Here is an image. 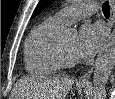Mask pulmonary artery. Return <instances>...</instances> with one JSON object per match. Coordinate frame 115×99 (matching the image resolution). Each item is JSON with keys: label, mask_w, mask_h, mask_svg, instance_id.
<instances>
[{"label": "pulmonary artery", "mask_w": 115, "mask_h": 99, "mask_svg": "<svg viewBox=\"0 0 115 99\" xmlns=\"http://www.w3.org/2000/svg\"><path fill=\"white\" fill-rule=\"evenodd\" d=\"M96 11L97 5L95 2L76 1L55 13L50 19L60 26H65L81 18L88 17Z\"/></svg>", "instance_id": "1"}]
</instances>
